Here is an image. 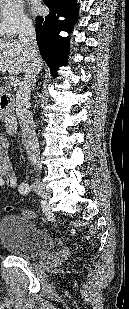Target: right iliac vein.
<instances>
[{"label":"right iliac vein","mask_w":129,"mask_h":309,"mask_svg":"<svg viewBox=\"0 0 129 309\" xmlns=\"http://www.w3.org/2000/svg\"><path fill=\"white\" fill-rule=\"evenodd\" d=\"M32 188L43 199L47 200L50 198V191L44 186L41 181L35 180L32 183Z\"/></svg>","instance_id":"obj_1"}]
</instances>
